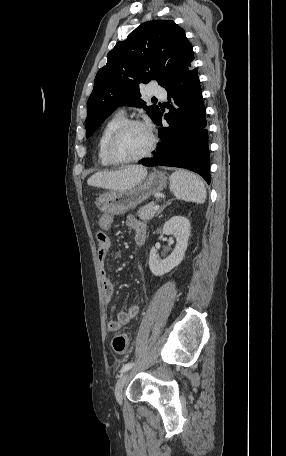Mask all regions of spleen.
Returning a JSON list of instances; mask_svg holds the SVG:
<instances>
[{"instance_id":"obj_1","label":"spleen","mask_w":286,"mask_h":456,"mask_svg":"<svg viewBox=\"0 0 286 456\" xmlns=\"http://www.w3.org/2000/svg\"><path fill=\"white\" fill-rule=\"evenodd\" d=\"M170 190L177 199L202 204L206 200V188L202 179L187 170H177L170 177Z\"/></svg>"}]
</instances>
